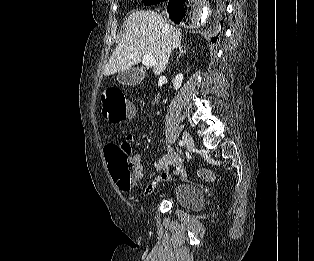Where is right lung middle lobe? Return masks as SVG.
Wrapping results in <instances>:
<instances>
[{"instance_id": "right-lung-middle-lobe-1", "label": "right lung middle lobe", "mask_w": 314, "mask_h": 261, "mask_svg": "<svg viewBox=\"0 0 314 261\" xmlns=\"http://www.w3.org/2000/svg\"><path fill=\"white\" fill-rule=\"evenodd\" d=\"M159 2H161V0H143V3L145 5H153V4H157Z\"/></svg>"}]
</instances>
